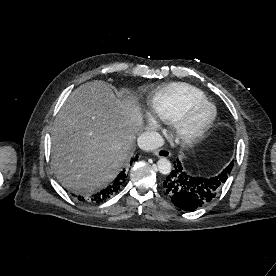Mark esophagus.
<instances>
[{
  "mask_svg": "<svg viewBox=\"0 0 276 276\" xmlns=\"http://www.w3.org/2000/svg\"><path fill=\"white\" fill-rule=\"evenodd\" d=\"M154 154L158 157H164V158H168L171 156L170 151L167 149H163V148L154 151Z\"/></svg>",
  "mask_w": 276,
  "mask_h": 276,
  "instance_id": "1",
  "label": "esophagus"
}]
</instances>
